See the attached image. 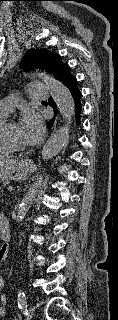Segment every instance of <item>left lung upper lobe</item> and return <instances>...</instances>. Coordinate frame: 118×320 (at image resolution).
Listing matches in <instances>:
<instances>
[{
  "label": "left lung upper lobe",
  "mask_w": 118,
  "mask_h": 320,
  "mask_svg": "<svg viewBox=\"0 0 118 320\" xmlns=\"http://www.w3.org/2000/svg\"><path fill=\"white\" fill-rule=\"evenodd\" d=\"M20 66L25 71L41 68L54 74L58 80H61L69 70V66L61 61L59 54L47 49L28 50Z\"/></svg>",
  "instance_id": "obj_1"
}]
</instances>
